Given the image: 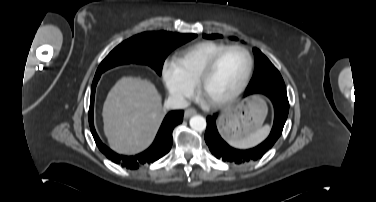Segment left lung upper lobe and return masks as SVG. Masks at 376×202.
I'll return each mask as SVG.
<instances>
[{
    "label": "left lung upper lobe",
    "instance_id": "obj_1",
    "mask_svg": "<svg viewBox=\"0 0 376 202\" xmlns=\"http://www.w3.org/2000/svg\"><path fill=\"white\" fill-rule=\"evenodd\" d=\"M203 37L206 39H218L222 38V35L204 34ZM253 51L256 60V68L252 80L250 81L246 89L245 96L270 90L282 94H287L285 83L279 71L274 67L269 59L261 53L259 49L254 48Z\"/></svg>",
    "mask_w": 376,
    "mask_h": 202
}]
</instances>
